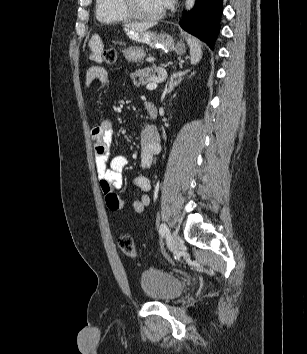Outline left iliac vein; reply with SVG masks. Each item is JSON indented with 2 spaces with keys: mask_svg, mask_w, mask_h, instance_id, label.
<instances>
[{
  "mask_svg": "<svg viewBox=\"0 0 307 354\" xmlns=\"http://www.w3.org/2000/svg\"><path fill=\"white\" fill-rule=\"evenodd\" d=\"M170 245H171V248L173 250H178L180 249L181 245H182V241H181V238L180 236L178 235L177 232H173L170 236Z\"/></svg>",
  "mask_w": 307,
  "mask_h": 354,
  "instance_id": "obj_1",
  "label": "left iliac vein"
}]
</instances>
